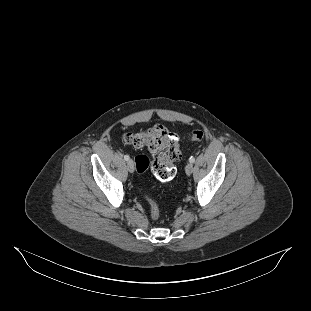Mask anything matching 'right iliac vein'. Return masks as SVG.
<instances>
[{"label":"right iliac vein","instance_id":"63e3f726","mask_svg":"<svg viewBox=\"0 0 311 311\" xmlns=\"http://www.w3.org/2000/svg\"><path fill=\"white\" fill-rule=\"evenodd\" d=\"M127 168L129 172L131 173L134 172L135 167H134V162L132 160L127 161Z\"/></svg>","mask_w":311,"mask_h":311}]
</instances>
